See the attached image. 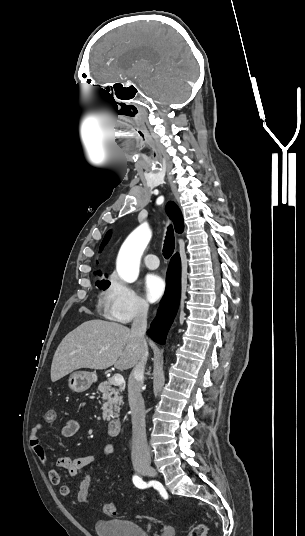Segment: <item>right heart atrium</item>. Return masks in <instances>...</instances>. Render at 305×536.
<instances>
[{"label":"right heart atrium","instance_id":"1","mask_svg":"<svg viewBox=\"0 0 305 536\" xmlns=\"http://www.w3.org/2000/svg\"><path fill=\"white\" fill-rule=\"evenodd\" d=\"M149 310L148 302L134 288L116 277L110 279L103 298L105 317L121 324H128L132 320L147 316Z\"/></svg>","mask_w":305,"mask_h":536}]
</instances>
